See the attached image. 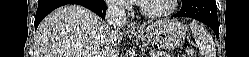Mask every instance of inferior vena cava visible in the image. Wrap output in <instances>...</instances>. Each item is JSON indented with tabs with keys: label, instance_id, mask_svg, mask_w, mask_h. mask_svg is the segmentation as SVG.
Instances as JSON below:
<instances>
[{
	"label": "inferior vena cava",
	"instance_id": "obj_1",
	"mask_svg": "<svg viewBox=\"0 0 249 57\" xmlns=\"http://www.w3.org/2000/svg\"><path fill=\"white\" fill-rule=\"evenodd\" d=\"M106 20L107 33L113 40L127 21L124 6L118 0H111L107 3Z\"/></svg>",
	"mask_w": 249,
	"mask_h": 57
}]
</instances>
